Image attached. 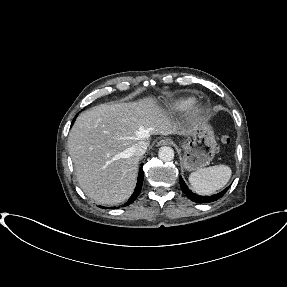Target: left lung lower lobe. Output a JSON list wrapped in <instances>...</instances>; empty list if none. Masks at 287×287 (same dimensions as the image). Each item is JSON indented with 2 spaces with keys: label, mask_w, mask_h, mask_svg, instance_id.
Listing matches in <instances>:
<instances>
[{
  "label": "left lung lower lobe",
  "mask_w": 287,
  "mask_h": 287,
  "mask_svg": "<svg viewBox=\"0 0 287 287\" xmlns=\"http://www.w3.org/2000/svg\"><path fill=\"white\" fill-rule=\"evenodd\" d=\"M179 181H180V186H181L183 193L187 196V198H189L190 200L196 203H209V202L216 201L219 198H221L226 193V191L229 189V187H227L222 192L212 195V196H200V195L193 193L191 190H189V188L186 186L181 176L179 177Z\"/></svg>",
  "instance_id": "0a47b994"
}]
</instances>
